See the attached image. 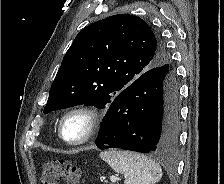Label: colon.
Instances as JSON below:
<instances>
[{"label": "colon", "instance_id": "1", "mask_svg": "<svg viewBox=\"0 0 224 184\" xmlns=\"http://www.w3.org/2000/svg\"><path fill=\"white\" fill-rule=\"evenodd\" d=\"M63 180L67 184H82L81 170L66 160L45 162L40 172V184H59Z\"/></svg>", "mask_w": 224, "mask_h": 184}]
</instances>
